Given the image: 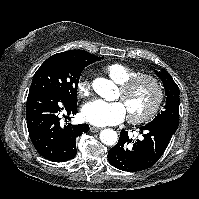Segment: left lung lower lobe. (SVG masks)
I'll list each match as a JSON object with an SVG mask.
<instances>
[{"mask_svg":"<svg viewBox=\"0 0 199 199\" xmlns=\"http://www.w3.org/2000/svg\"><path fill=\"white\" fill-rule=\"evenodd\" d=\"M177 128L166 122H151L140 128L143 138L137 141L121 131L118 143L108 152V161L123 171L148 169L162 156Z\"/></svg>","mask_w":199,"mask_h":199,"instance_id":"left-lung-lower-lobe-1","label":"left lung lower lobe"}]
</instances>
